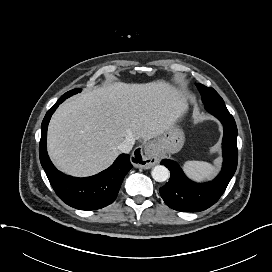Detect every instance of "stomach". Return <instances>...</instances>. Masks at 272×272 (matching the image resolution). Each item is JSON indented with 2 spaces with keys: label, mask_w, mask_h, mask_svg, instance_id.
Returning <instances> with one entry per match:
<instances>
[{
  "label": "stomach",
  "mask_w": 272,
  "mask_h": 272,
  "mask_svg": "<svg viewBox=\"0 0 272 272\" xmlns=\"http://www.w3.org/2000/svg\"><path fill=\"white\" fill-rule=\"evenodd\" d=\"M185 142L183 131L176 125L164 131L150 142L156 154H174L179 152Z\"/></svg>",
  "instance_id": "obj_1"
}]
</instances>
